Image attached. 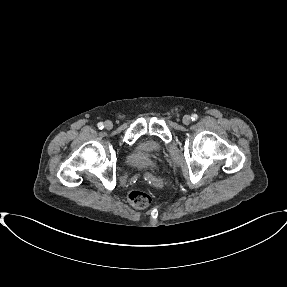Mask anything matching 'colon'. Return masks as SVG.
I'll list each match as a JSON object with an SVG mask.
<instances>
[{
	"instance_id": "colon-1",
	"label": "colon",
	"mask_w": 287,
	"mask_h": 287,
	"mask_svg": "<svg viewBox=\"0 0 287 287\" xmlns=\"http://www.w3.org/2000/svg\"><path fill=\"white\" fill-rule=\"evenodd\" d=\"M128 203L136 209H144L149 206L151 198L141 190H132L127 194Z\"/></svg>"
}]
</instances>
